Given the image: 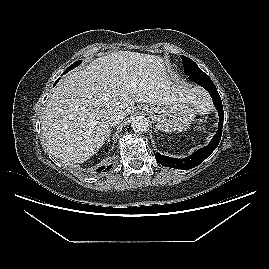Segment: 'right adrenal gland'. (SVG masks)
I'll return each instance as SVG.
<instances>
[{"mask_svg":"<svg viewBox=\"0 0 269 269\" xmlns=\"http://www.w3.org/2000/svg\"><path fill=\"white\" fill-rule=\"evenodd\" d=\"M111 133V132H110ZM110 141V135H109V137H108V139H107V142H109Z\"/></svg>","mask_w":269,"mask_h":269,"instance_id":"1","label":"right adrenal gland"}]
</instances>
